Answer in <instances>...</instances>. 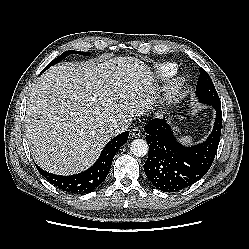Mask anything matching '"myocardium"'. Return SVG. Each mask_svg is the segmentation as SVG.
Segmentation results:
<instances>
[{"label":"myocardium","mask_w":249,"mask_h":249,"mask_svg":"<svg viewBox=\"0 0 249 249\" xmlns=\"http://www.w3.org/2000/svg\"><path fill=\"white\" fill-rule=\"evenodd\" d=\"M186 84V78L183 75L176 76L169 87V99H173L179 95Z\"/></svg>","instance_id":"1"}]
</instances>
